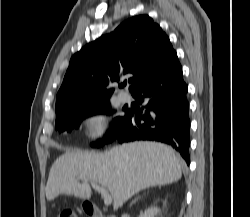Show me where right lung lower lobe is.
<instances>
[{"instance_id":"right-lung-lower-lobe-1","label":"right lung lower lobe","mask_w":250,"mask_h":217,"mask_svg":"<svg viewBox=\"0 0 250 217\" xmlns=\"http://www.w3.org/2000/svg\"><path fill=\"white\" fill-rule=\"evenodd\" d=\"M187 91L182 67L175 55L158 74L132 93L139 104H145L146 110H128V118L116 139L120 143L140 139L165 142L189 164Z\"/></svg>"}]
</instances>
